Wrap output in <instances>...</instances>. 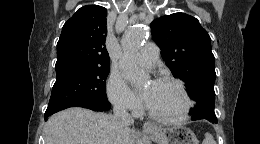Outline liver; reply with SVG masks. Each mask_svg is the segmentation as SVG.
<instances>
[{"label":"liver","mask_w":260,"mask_h":144,"mask_svg":"<svg viewBox=\"0 0 260 144\" xmlns=\"http://www.w3.org/2000/svg\"><path fill=\"white\" fill-rule=\"evenodd\" d=\"M129 126L115 116L73 107L51 116L45 125L46 144H128Z\"/></svg>","instance_id":"obj_1"}]
</instances>
